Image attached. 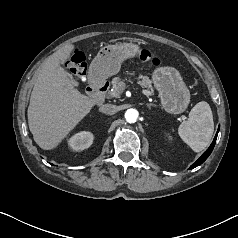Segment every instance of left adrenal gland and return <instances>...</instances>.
<instances>
[{
    "mask_svg": "<svg viewBox=\"0 0 238 238\" xmlns=\"http://www.w3.org/2000/svg\"><path fill=\"white\" fill-rule=\"evenodd\" d=\"M151 106H155V105H153V104H148V107L150 108Z\"/></svg>",
    "mask_w": 238,
    "mask_h": 238,
    "instance_id": "a2214340",
    "label": "left adrenal gland"
}]
</instances>
